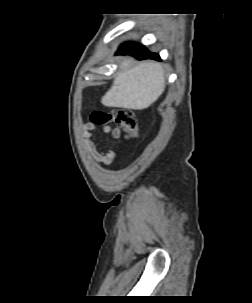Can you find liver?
Listing matches in <instances>:
<instances>
[{
    "mask_svg": "<svg viewBox=\"0 0 252 303\" xmlns=\"http://www.w3.org/2000/svg\"><path fill=\"white\" fill-rule=\"evenodd\" d=\"M131 62V58L121 62L113 85L102 97L103 105L143 110L164 92L165 77L160 63L148 61L129 69Z\"/></svg>",
    "mask_w": 252,
    "mask_h": 303,
    "instance_id": "liver-1",
    "label": "liver"
}]
</instances>
